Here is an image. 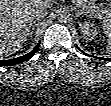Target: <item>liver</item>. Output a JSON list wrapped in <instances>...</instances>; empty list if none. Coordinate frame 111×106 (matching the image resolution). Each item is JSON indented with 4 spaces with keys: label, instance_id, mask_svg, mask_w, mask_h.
Returning <instances> with one entry per match:
<instances>
[{
    "label": "liver",
    "instance_id": "6515ba94",
    "mask_svg": "<svg viewBox=\"0 0 111 106\" xmlns=\"http://www.w3.org/2000/svg\"><path fill=\"white\" fill-rule=\"evenodd\" d=\"M36 5L48 6L42 0L0 1V55L7 57L23 47L32 26V10Z\"/></svg>",
    "mask_w": 111,
    "mask_h": 106
}]
</instances>
